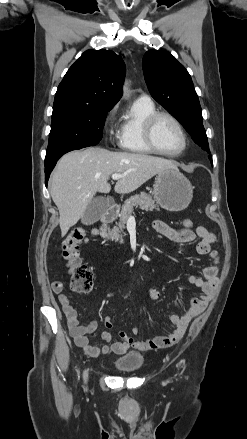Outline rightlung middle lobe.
I'll use <instances>...</instances> for the list:
<instances>
[{"instance_id": "obj_1", "label": "right lung middle lobe", "mask_w": 247, "mask_h": 439, "mask_svg": "<svg viewBox=\"0 0 247 439\" xmlns=\"http://www.w3.org/2000/svg\"><path fill=\"white\" fill-rule=\"evenodd\" d=\"M111 109L74 105L53 107L45 167L69 151L97 145L102 138L106 114Z\"/></svg>"}]
</instances>
